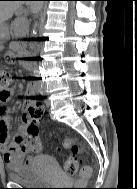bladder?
I'll use <instances>...</instances> for the list:
<instances>
[{"label":"bladder","mask_w":137,"mask_h":189,"mask_svg":"<svg viewBox=\"0 0 137 189\" xmlns=\"http://www.w3.org/2000/svg\"><path fill=\"white\" fill-rule=\"evenodd\" d=\"M60 169L54 157L41 155L35 158L33 164L9 171L8 177L12 182L24 185L42 186L59 177Z\"/></svg>","instance_id":"obj_1"}]
</instances>
